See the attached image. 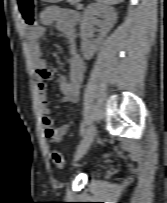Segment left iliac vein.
<instances>
[{
    "label": "left iliac vein",
    "mask_w": 167,
    "mask_h": 203,
    "mask_svg": "<svg viewBox=\"0 0 167 203\" xmlns=\"http://www.w3.org/2000/svg\"><path fill=\"white\" fill-rule=\"evenodd\" d=\"M96 135V126L95 125H91L85 132V134L83 135V138L76 150L75 156H74V160L77 161L80 158H82V156L86 153V151L88 150V148L90 147L91 143L94 140V137Z\"/></svg>",
    "instance_id": "1"
}]
</instances>
